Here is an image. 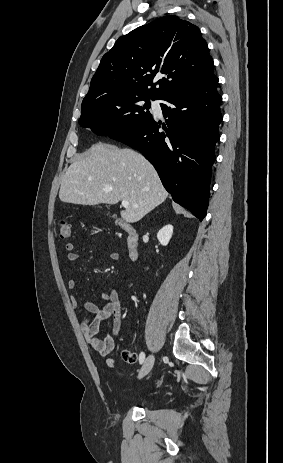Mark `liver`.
<instances>
[{
    "instance_id": "1",
    "label": "liver",
    "mask_w": 283,
    "mask_h": 463,
    "mask_svg": "<svg viewBox=\"0 0 283 463\" xmlns=\"http://www.w3.org/2000/svg\"><path fill=\"white\" fill-rule=\"evenodd\" d=\"M168 192L155 168L140 153L98 143L73 162L62 178L59 198L62 202L129 206L120 212L128 223L141 220L163 203Z\"/></svg>"
}]
</instances>
